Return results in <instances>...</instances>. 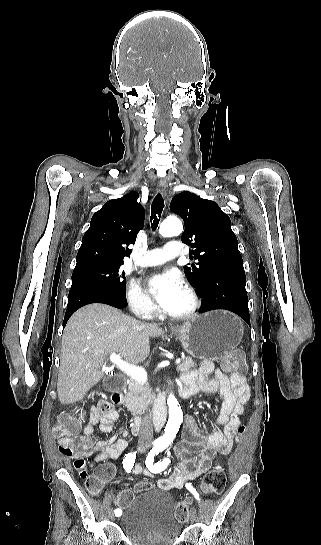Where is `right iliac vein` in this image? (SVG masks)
I'll return each mask as SVG.
<instances>
[{
    "label": "right iliac vein",
    "instance_id": "obj_1",
    "mask_svg": "<svg viewBox=\"0 0 321 545\" xmlns=\"http://www.w3.org/2000/svg\"><path fill=\"white\" fill-rule=\"evenodd\" d=\"M109 518H110V520H112V521L115 520V515H114V512H113V509H111V510L109 511Z\"/></svg>",
    "mask_w": 321,
    "mask_h": 545
}]
</instances>
